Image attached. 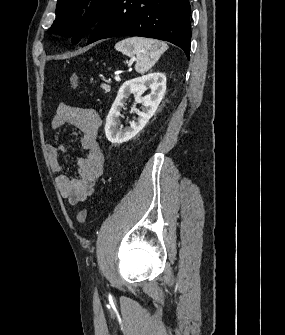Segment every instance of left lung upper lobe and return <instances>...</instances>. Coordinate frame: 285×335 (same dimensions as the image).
<instances>
[{
	"mask_svg": "<svg viewBox=\"0 0 285 335\" xmlns=\"http://www.w3.org/2000/svg\"><path fill=\"white\" fill-rule=\"evenodd\" d=\"M113 0H58L56 19L49 29L54 34L73 36L79 42L89 32Z\"/></svg>",
	"mask_w": 285,
	"mask_h": 335,
	"instance_id": "obj_1",
	"label": "left lung upper lobe"
}]
</instances>
